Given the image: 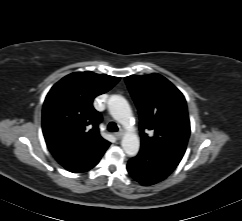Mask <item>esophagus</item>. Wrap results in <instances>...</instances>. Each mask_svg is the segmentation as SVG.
Wrapping results in <instances>:
<instances>
[{
  "mask_svg": "<svg viewBox=\"0 0 242 221\" xmlns=\"http://www.w3.org/2000/svg\"><path fill=\"white\" fill-rule=\"evenodd\" d=\"M114 136L117 138V139H121L122 136H123V132H117L114 134Z\"/></svg>",
  "mask_w": 242,
  "mask_h": 221,
  "instance_id": "esophagus-1",
  "label": "esophagus"
}]
</instances>
